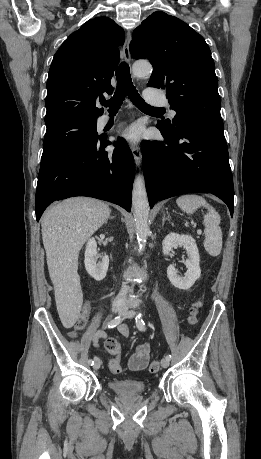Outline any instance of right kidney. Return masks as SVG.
I'll use <instances>...</instances> for the list:
<instances>
[{"instance_id": "1", "label": "right kidney", "mask_w": 261, "mask_h": 459, "mask_svg": "<svg viewBox=\"0 0 261 459\" xmlns=\"http://www.w3.org/2000/svg\"><path fill=\"white\" fill-rule=\"evenodd\" d=\"M98 258H101V261L97 262ZM84 263L86 271L96 281L105 278L109 266V257L106 254H98L97 243L94 238H90L86 244Z\"/></svg>"}]
</instances>
